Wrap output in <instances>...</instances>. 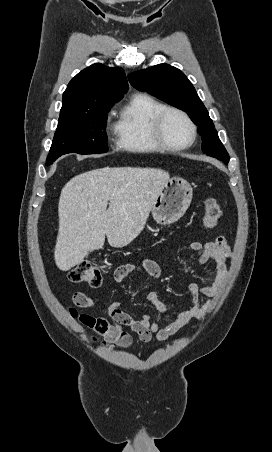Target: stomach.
I'll return each instance as SVG.
<instances>
[{
  "label": "stomach",
  "instance_id": "stomach-1",
  "mask_svg": "<svg viewBox=\"0 0 272 452\" xmlns=\"http://www.w3.org/2000/svg\"><path fill=\"white\" fill-rule=\"evenodd\" d=\"M192 196V187L186 180L169 178L151 209L153 219L160 225L175 223L188 209Z\"/></svg>",
  "mask_w": 272,
  "mask_h": 452
}]
</instances>
